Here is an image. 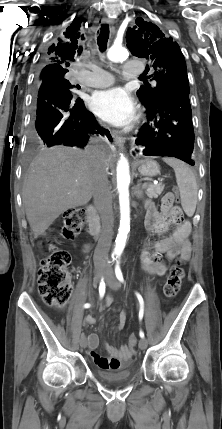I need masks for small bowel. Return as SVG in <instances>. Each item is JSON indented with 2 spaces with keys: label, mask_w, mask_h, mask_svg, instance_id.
<instances>
[{
  "label": "small bowel",
  "mask_w": 222,
  "mask_h": 429,
  "mask_svg": "<svg viewBox=\"0 0 222 429\" xmlns=\"http://www.w3.org/2000/svg\"><path fill=\"white\" fill-rule=\"evenodd\" d=\"M145 226L150 234L162 235L174 225L172 233L160 240L151 242L141 252V268L151 276H163L167 271V261L179 256L186 261L190 258L192 247L189 241L191 224L184 218L182 210L178 206H165L162 204L161 211L151 203L146 202ZM82 253L89 251V245L82 247ZM113 297L108 296L105 306L112 304ZM126 311L119 314L116 330H122L126 323ZM85 322L90 325L97 323L96 317L87 315ZM99 338L95 333L88 334V346L90 356L94 363L105 370H118L127 366L133 356L134 349L127 345L117 348L110 344L106 345L108 357L101 356L97 352Z\"/></svg>",
  "instance_id": "obj_1"
}]
</instances>
